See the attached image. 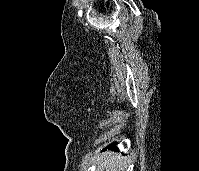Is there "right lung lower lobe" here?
<instances>
[{
	"mask_svg": "<svg viewBox=\"0 0 199 171\" xmlns=\"http://www.w3.org/2000/svg\"><path fill=\"white\" fill-rule=\"evenodd\" d=\"M108 148L109 149H117V147H116V143H113V144H110L109 146H108Z\"/></svg>",
	"mask_w": 199,
	"mask_h": 171,
	"instance_id": "1",
	"label": "right lung lower lobe"
}]
</instances>
